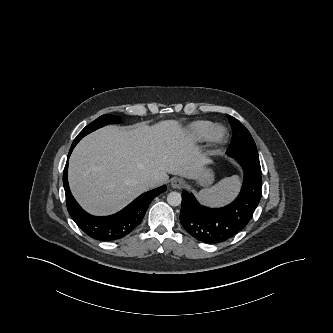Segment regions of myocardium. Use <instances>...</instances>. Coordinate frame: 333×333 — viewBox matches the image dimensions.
Masks as SVG:
<instances>
[{
  "mask_svg": "<svg viewBox=\"0 0 333 333\" xmlns=\"http://www.w3.org/2000/svg\"><path fill=\"white\" fill-rule=\"evenodd\" d=\"M210 136L215 145H221L226 139L227 132L222 126L215 125L211 129Z\"/></svg>",
  "mask_w": 333,
  "mask_h": 333,
  "instance_id": "f54148a6",
  "label": "myocardium"
}]
</instances>
